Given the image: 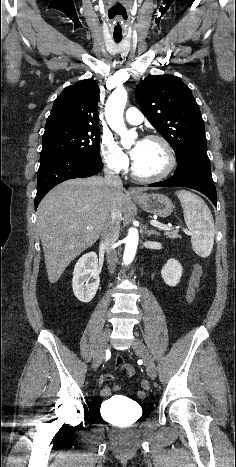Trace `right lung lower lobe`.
Wrapping results in <instances>:
<instances>
[{"label": "right lung lower lobe", "mask_w": 236, "mask_h": 467, "mask_svg": "<svg viewBox=\"0 0 236 467\" xmlns=\"http://www.w3.org/2000/svg\"><path fill=\"white\" fill-rule=\"evenodd\" d=\"M102 168L101 161L71 153H59L41 159L37 176L35 209H37L41 199L59 183L68 179L93 176Z\"/></svg>", "instance_id": "98d812e1"}]
</instances>
